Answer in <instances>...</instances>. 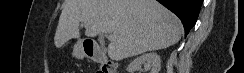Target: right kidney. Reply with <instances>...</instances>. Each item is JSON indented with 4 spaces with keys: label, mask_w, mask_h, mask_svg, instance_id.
<instances>
[{
    "label": "right kidney",
    "mask_w": 244,
    "mask_h": 73,
    "mask_svg": "<svg viewBox=\"0 0 244 73\" xmlns=\"http://www.w3.org/2000/svg\"><path fill=\"white\" fill-rule=\"evenodd\" d=\"M144 65L145 71L149 73H159L161 67V59L157 53L151 52L143 54L136 59H134L127 67L128 73H135Z\"/></svg>",
    "instance_id": "obj_1"
}]
</instances>
